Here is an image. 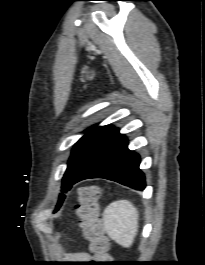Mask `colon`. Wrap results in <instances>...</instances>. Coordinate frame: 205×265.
I'll return each instance as SVG.
<instances>
[{
	"label": "colon",
	"mask_w": 205,
	"mask_h": 265,
	"mask_svg": "<svg viewBox=\"0 0 205 265\" xmlns=\"http://www.w3.org/2000/svg\"><path fill=\"white\" fill-rule=\"evenodd\" d=\"M99 189L86 186L80 189L76 212L80 219V227L89 242L93 254L94 265L107 263L109 259V240L103 232L99 217Z\"/></svg>",
	"instance_id": "5ec220e1"
}]
</instances>
